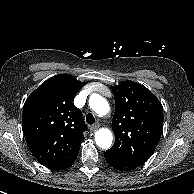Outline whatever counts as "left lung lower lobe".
I'll return each mask as SVG.
<instances>
[{
  "label": "left lung lower lobe",
  "instance_id": "1",
  "mask_svg": "<svg viewBox=\"0 0 194 194\" xmlns=\"http://www.w3.org/2000/svg\"><path fill=\"white\" fill-rule=\"evenodd\" d=\"M104 157L107 161V163L115 168V169H118V170H121V171H130V170H134L135 168H137V166H134V165H130V164H127V163H124L106 153H104Z\"/></svg>",
  "mask_w": 194,
  "mask_h": 194
}]
</instances>
